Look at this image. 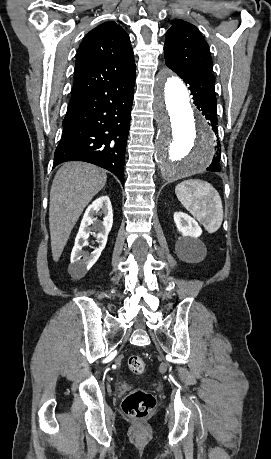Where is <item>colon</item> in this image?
I'll return each mask as SVG.
<instances>
[{
  "instance_id": "colon-1",
  "label": "colon",
  "mask_w": 271,
  "mask_h": 459,
  "mask_svg": "<svg viewBox=\"0 0 271 459\" xmlns=\"http://www.w3.org/2000/svg\"><path fill=\"white\" fill-rule=\"evenodd\" d=\"M128 367L135 375H141L145 371V362L138 355L128 358ZM156 406L155 397L144 389L130 391L122 402L123 413L132 419H143L150 415Z\"/></svg>"
}]
</instances>
